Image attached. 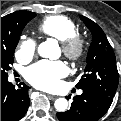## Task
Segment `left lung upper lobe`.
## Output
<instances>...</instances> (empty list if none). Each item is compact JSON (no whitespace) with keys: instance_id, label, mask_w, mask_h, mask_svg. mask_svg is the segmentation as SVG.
<instances>
[{"instance_id":"5c2ea615","label":"left lung upper lobe","mask_w":121,"mask_h":121,"mask_svg":"<svg viewBox=\"0 0 121 121\" xmlns=\"http://www.w3.org/2000/svg\"><path fill=\"white\" fill-rule=\"evenodd\" d=\"M80 18L91 31L93 40L87 54L85 74L76 87L114 97L119 75L113 49L99 25L85 16Z\"/></svg>"}]
</instances>
